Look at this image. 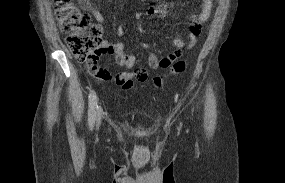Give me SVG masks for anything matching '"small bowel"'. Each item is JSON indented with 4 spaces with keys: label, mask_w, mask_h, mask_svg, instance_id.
Wrapping results in <instances>:
<instances>
[{
    "label": "small bowel",
    "mask_w": 285,
    "mask_h": 183,
    "mask_svg": "<svg viewBox=\"0 0 285 183\" xmlns=\"http://www.w3.org/2000/svg\"><path fill=\"white\" fill-rule=\"evenodd\" d=\"M81 7L88 11L100 24L104 22V16L101 11L92 3L91 0H77ZM201 12L194 14L189 18V31L188 42L181 37L174 39L175 49L169 52L164 57H158L155 54H151L148 58V67L152 70H158L162 68H168L178 59H180L184 50L193 48L201 33L202 25L207 22L211 16L213 9V0H200ZM167 13V4L164 2H158L152 5L148 11L147 16L150 18H162ZM124 33L122 26L117 29V34L121 36ZM140 47L144 50L149 48L146 43H141ZM102 54L113 55L116 62L128 69L135 65L136 57L134 54L125 50V44L123 42H110L104 40L102 42V48L97 58L88 61L85 64V70L89 76L94 78L97 82H112L117 85L122 91H128L133 88L135 80L138 82H145L148 78V71L145 68H137L135 71H123L116 74L111 73L109 70L101 68L97 65V59ZM141 74L142 79L138 80L136 74Z\"/></svg>",
    "instance_id": "c3829d8e"
}]
</instances>
